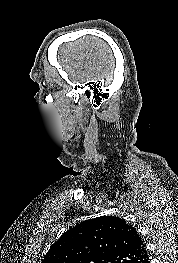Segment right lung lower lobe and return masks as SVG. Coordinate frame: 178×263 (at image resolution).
I'll use <instances>...</instances> for the list:
<instances>
[{"label": "right lung lower lobe", "instance_id": "98d812e1", "mask_svg": "<svg viewBox=\"0 0 178 263\" xmlns=\"http://www.w3.org/2000/svg\"><path fill=\"white\" fill-rule=\"evenodd\" d=\"M145 263H150V262H149V258L147 259V261H145Z\"/></svg>", "mask_w": 178, "mask_h": 263}]
</instances>
